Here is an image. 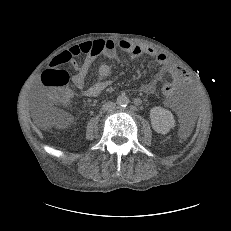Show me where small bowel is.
<instances>
[{
	"label": "small bowel",
	"instance_id": "obj_1",
	"mask_svg": "<svg viewBox=\"0 0 231 231\" xmlns=\"http://www.w3.org/2000/svg\"><path fill=\"white\" fill-rule=\"evenodd\" d=\"M118 47L130 54L132 57L150 56L154 59L156 64L161 66L167 71L173 78L176 84V88H183L189 83V77L186 70L180 65L169 60L167 55L161 51H158L152 47L142 46L134 44L130 41H120ZM65 55L66 60L62 64H70L75 73L72 76V82L75 87L83 90L82 94L85 97H95L103 92L111 84V68L108 64H101L98 68V80L92 85L85 87L86 78L88 72L98 56H105L109 59L116 57V44L112 40H95L81 43L79 45L69 48L59 56ZM80 55H84V60L81 63L76 61V58ZM57 56V57H59ZM59 59H54L51 62V67L56 66ZM160 76H157L154 82H151L144 86L146 93L154 91L155 82L160 80ZM176 104L175 97L165 96V105L168 107H174Z\"/></svg>",
	"mask_w": 231,
	"mask_h": 231
}]
</instances>
